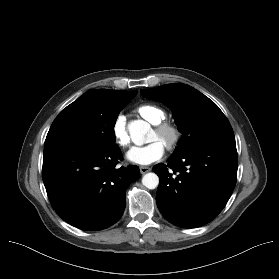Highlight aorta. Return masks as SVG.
Masks as SVG:
<instances>
[{
  "label": "aorta",
  "mask_w": 279,
  "mask_h": 279,
  "mask_svg": "<svg viewBox=\"0 0 279 279\" xmlns=\"http://www.w3.org/2000/svg\"><path fill=\"white\" fill-rule=\"evenodd\" d=\"M128 129L133 142L143 144L145 135L150 130V125L143 120H135L129 124ZM142 184L148 189H155L159 184V177L155 173H147L142 178Z\"/></svg>",
  "instance_id": "aorta-1"
}]
</instances>
